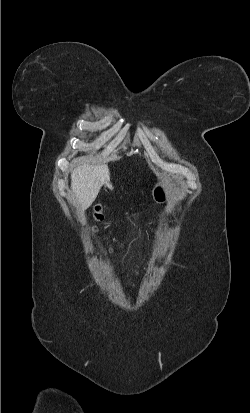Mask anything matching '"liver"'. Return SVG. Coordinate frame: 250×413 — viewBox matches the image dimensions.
I'll return each mask as SVG.
<instances>
[{
  "instance_id": "6515ba94",
  "label": "liver",
  "mask_w": 250,
  "mask_h": 413,
  "mask_svg": "<svg viewBox=\"0 0 250 413\" xmlns=\"http://www.w3.org/2000/svg\"><path fill=\"white\" fill-rule=\"evenodd\" d=\"M110 190V172L107 165L82 164L71 173V188L80 210H86L95 201L101 187Z\"/></svg>"
}]
</instances>
